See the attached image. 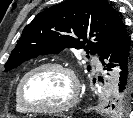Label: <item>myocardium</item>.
I'll list each match as a JSON object with an SVG mask.
<instances>
[{
	"label": "myocardium",
	"instance_id": "obj_1",
	"mask_svg": "<svg viewBox=\"0 0 133 118\" xmlns=\"http://www.w3.org/2000/svg\"><path fill=\"white\" fill-rule=\"evenodd\" d=\"M58 69L62 70L69 76L71 83H72V96L71 98L64 104L55 106V107H36L29 103V101L26 98V85L29 80V78L37 73L38 71L44 70V69ZM80 82L79 79L74 71V69L61 62H46L40 65H37L27 71L23 77L21 78L18 86V93H19V100L21 104L25 107V109L28 112L37 113V114H55V113H61L70 110L73 108L80 97Z\"/></svg>",
	"mask_w": 133,
	"mask_h": 118
}]
</instances>
